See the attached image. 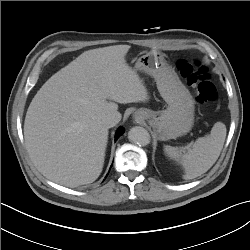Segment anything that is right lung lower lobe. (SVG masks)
I'll list each match as a JSON object with an SVG mask.
<instances>
[{"label":"right lung lower lobe","instance_id":"1","mask_svg":"<svg viewBox=\"0 0 250 250\" xmlns=\"http://www.w3.org/2000/svg\"><path fill=\"white\" fill-rule=\"evenodd\" d=\"M124 131V128L120 127L116 132L115 140H117L124 133Z\"/></svg>","mask_w":250,"mask_h":250}]
</instances>
